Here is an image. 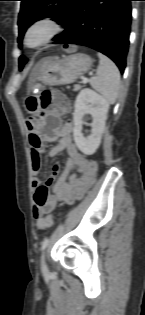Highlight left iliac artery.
Segmentation results:
<instances>
[{"instance_id":"obj_1","label":"left iliac artery","mask_w":145,"mask_h":315,"mask_svg":"<svg viewBox=\"0 0 145 315\" xmlns=\"http://www.w3.org/2000/svg\"><path fill=\"white\" fill-rule=\"evenodd\" d=\"M49 239L46 238L43 242H42V245H41V251H43L49 244Z\"/></svg>"}]
</instances>
